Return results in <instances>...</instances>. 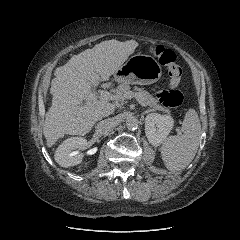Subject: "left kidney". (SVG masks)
Here are the masks:
<instances>
[{"instance_id":"1","label":"left kidney","mask_w":240,"mask_h":240,"mask_svg":"<svg viewBox=\"0 0 240 240\" xmlns=\"http://www.w3.org/2000/svg\"><path fill=\"white\" fill-rule=\"evenodd\" d=\"M174 120L170 115L148 114L145 118V134L148 141L159 146L173 128Z\"/></svg>"}]
</instances>
